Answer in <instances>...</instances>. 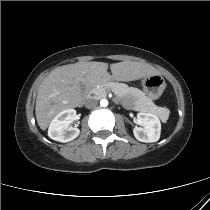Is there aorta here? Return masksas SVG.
Segmentation results:
<instances>
[{
    "label": "aorta",
    "mask_w": 210,
    "mask_h": 210,
    "mask_svg": "<svg viewBox=\"0 0 210 210\" xmlns=\"http://www.w3.org/2000/svg\"><path fill=\"white\" fill-rule=\"evenodd\" d=\"M100 104L101 106L106 107L108 105V101L106 99H102Z\"/></svg>",
    "instance_id": "obj_1"
}]
</instances>
